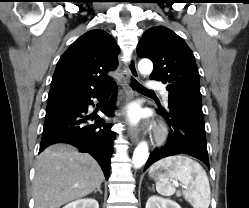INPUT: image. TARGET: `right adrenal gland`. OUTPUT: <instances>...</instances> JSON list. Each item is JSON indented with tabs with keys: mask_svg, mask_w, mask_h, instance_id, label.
<instances>
[{
	"mask_svg": "<svg viewBox=\"0 0 249 208\" xmlns=\"http://www.w3.org/2000/svg\"><path fill=\"white\" fill-rule=\"evenodd\" d=\"M97 192H99L101 195L103 194L100 186L93 192V194H96Z\"/></svg>",
	"mask_w": 249,
	"mask_h": 208,
	"instance_id": "obj_1",
	"label": "right adrenal gland"
}]
</instances>
